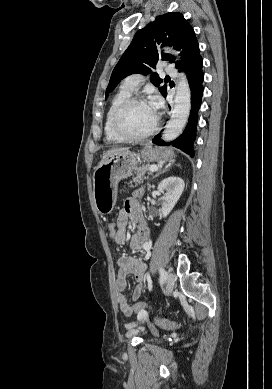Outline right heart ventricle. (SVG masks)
<instances>
[{
	"mask_svg": "<svg viewBox=\"0 0 272 389\" xmlns=\"http://www.w3.org/2000/svg\"><path fill=\"white\" fill-rule=\"evenodd\" d=\"M132 92L122 87L112 98L110 105L107 109L105 121H104V135L108 142L118 143L124 141L119 137L113 129V116L117 108L130 96Z\"/></svg>",
	"mask_w": 272,
	"mask_h": 389,
	"instance_id": "obj_1",
	"label": "right heart ventricle"
}]
</instances>
